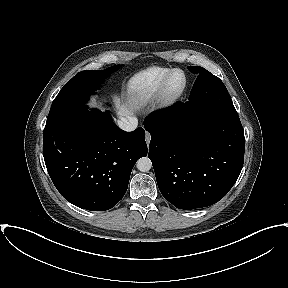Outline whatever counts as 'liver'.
<instances>
[{"label":"liver","instance_id":"liver-1","mask_svg":"<svg viewBox=\"0 0 288 288\" xmlns=\"http://www.w3.org/2000/svg\"><path fill=\"white\" fill-rule=\"evenodd\" d=\"M92 107H98L102 109L100 105L96 103V100L93 98L89 103ZM116 112L120 119L122 118H132L134 112V105L131 101L122 103L119 98H115Z\"/></svg>","mask_w":288,"mask_h":288}]
</instances>
